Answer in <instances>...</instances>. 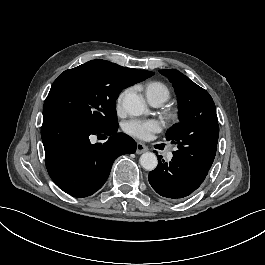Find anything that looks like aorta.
<instances>
[{
    "label": "aorta",
    "mask_w": 265,
    "mask_h": 265,
    "mask_svg": "<svg viewBox=\"0 0 265 265\" xmlns=\"http://www.w3.org/2000/svg\"><path fill=\"white\" fill-rule=\"evenodd\" d=\"M122 106L132 116H139L144 112L145 105L142 99L135 93H125ZM140 164L146 171H153L158 165V159L154 153L145 152L140 157Z\"/></svg>",
    "instance_id": "obj_1"
}]
</instances>
